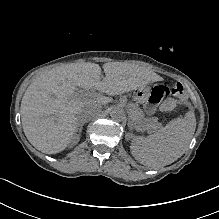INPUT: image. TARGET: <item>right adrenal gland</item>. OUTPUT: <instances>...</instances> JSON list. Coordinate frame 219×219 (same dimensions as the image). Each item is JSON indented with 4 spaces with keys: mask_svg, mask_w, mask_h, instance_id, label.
I'll use <instances>...</instances> for the list:
<instances>
[{
    "mask_svg": "<svg viewBox=\"0 0 219 219\" xmlns=\"http://www.w3.org/2000/svg\"><path fill=\"white\" fill-rule=\"evenodd\" d=\"M83 125H84L83 121H78V126H77V129L75 130V134L78 132L80 136L82 135Z\"/></svg>",
    "mask_w": 219,
    "mask_h": 219,
    "instance_id": "right-adrenal-gland-1",
    "label": "right adrenal gland"
}]
</instances>
